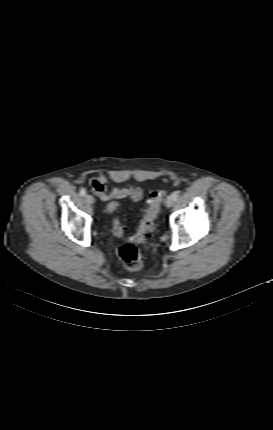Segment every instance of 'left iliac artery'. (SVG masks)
I'll return each mask as SVG.
<instances>
[{"instance_id": "44dca946", "label": "left iliac artery", "mask_w": 273, "mask_h": 430, "mask_svg": "<svg viewBox=\"0 0 273 430\" xmlns=\"http://www.w3.org/2000/svg\"><path fill=\"white\" fill-rule=\"evenodd\" d=\"M180 195V191H175L172 193L173 198L176 200Z\"/></svg>"}]
</instances>
